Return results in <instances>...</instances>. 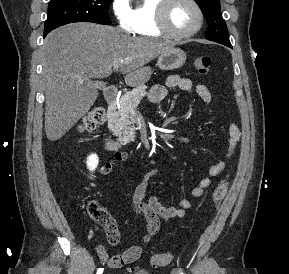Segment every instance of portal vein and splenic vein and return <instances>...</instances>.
Segmentation results:
<instances>
[{
  "instance_id": "obj_1",
  "label": "portal vein and splenic vein",
  "mask_w": 289,
  "mask_h": 274,
  "mask_svg": "<svg viewBox=\"0 0 289 274\" xmlns=\"http://www.w3.org/2000/svg\"><path fill=\"white\" fill-rule=\"evenodd\" d=\"M114 69H118V65L115 64V65H114Z\"/></svg>"
}]
</instances>
